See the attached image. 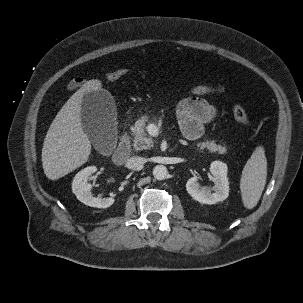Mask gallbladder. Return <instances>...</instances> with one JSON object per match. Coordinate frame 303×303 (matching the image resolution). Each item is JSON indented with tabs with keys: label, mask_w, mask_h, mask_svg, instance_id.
Returning <instances> with one entry per match:
<instances>
[{
	"label": "gallbladder",
	"mask_w": 303,
	"mask_h": 303,
	"mask_svg": "<svg viewBox=\"0 0 303 303\" xmlns=\"http://www.w3.org/2000/svg\"><path fill=\"white\" fill-rule=\"evenodd\" d=\"M116 105L107 90L86 92L81 103L83 129L100 152L114 144L116 136Z\"/></svg>",
	"instance_id": "1"
}]
</instances>
